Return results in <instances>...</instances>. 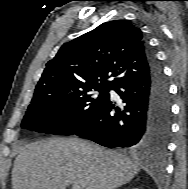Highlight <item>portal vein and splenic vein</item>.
<instances>
[{
    "mask_svg": "<svg viewBox=\"0 0 188 189\" xmlns=\"http://www.w3.org/2000/svg\"><path fill=\"white\" fill-rule=\"evenodd\" d=\"M72 189H81L80 185L79 184H73L72 185Z\"/></svg>",
    "mask_w": 188,
    "mask_h": 189,
    "instance_id": "18ae733b",
    "label": "portal vein and splenic vein"
}]
</instances>
